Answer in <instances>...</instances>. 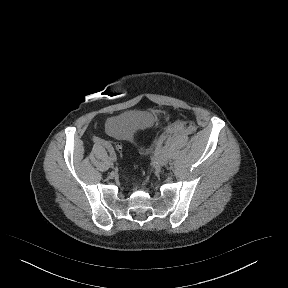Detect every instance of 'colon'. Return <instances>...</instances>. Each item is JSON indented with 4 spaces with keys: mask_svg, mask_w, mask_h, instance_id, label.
Returning a JSON list of instances; mask_svg holds the SVG:
<instances>
[{
    "mask_svg": "<svg viewBox=\"0 0 288 288\" xmlns=\"http://www.w3.org/2000/svg\"><path fill=\"white\" fill-rule=\"evenodd\" d=\"M116 149H117L119 152H122V147H121V145H116Z\"/></svg>",
    "mask_w": 288,
    "mask_h": 288,
    "instance_id": "obj_1",
    "label": "colon"
}]
</instances>
